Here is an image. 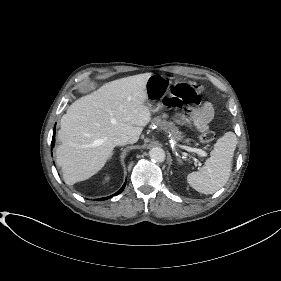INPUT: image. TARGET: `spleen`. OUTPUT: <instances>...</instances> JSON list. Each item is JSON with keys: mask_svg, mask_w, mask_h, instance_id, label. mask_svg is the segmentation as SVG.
<instances>
[{"mask_svg": "<svg viewBox=\"0 0 281 281\" xmlns=\"http://www.w3.org/2000/svg\"><path fill=\"white\" fill-rule=\"evenodd\" d=\"M237 138L233 132H226L220 137L198 171L188 174L187 181L192 188L203 194H213L228 181Z\"/></svg>", "mask_w": 281, "mask_h": 281, "instance_id": "1", "label": "spleen"}]
</instances>
